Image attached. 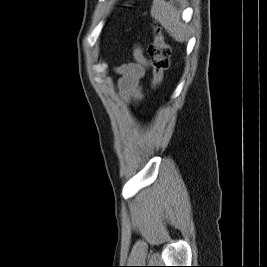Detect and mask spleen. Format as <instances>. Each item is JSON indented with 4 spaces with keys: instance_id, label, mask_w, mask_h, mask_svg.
<instances>
[{
    "instance_id": "3e777b00",
    "label": "spleen",
    "mask_w": 267,
    "mask_h": 267,
    "mask_svg": "<svg viewBox=\"0 0 267 267\" xmlns=\"http://www.w3.org/2000/svg\"><path fill=\"white\" fill-rule=\"evenodd\" d=\"M150 13L177 42L186 41L188 26L182 21L181 11L173 3L154 0Z\"/></svg>"
}]
</instances>
